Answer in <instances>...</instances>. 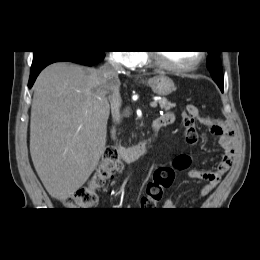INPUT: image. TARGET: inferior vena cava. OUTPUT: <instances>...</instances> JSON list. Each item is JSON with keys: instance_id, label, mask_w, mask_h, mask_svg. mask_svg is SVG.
<instances>
[{"instance_id": "inferior-vena-cava-1", "label": "inferior vena cava", "mask_w": 260, "mask_h": 260, "mask_svg": "<svg viewBox=\"0 0 260 260\" xmlns=\"http://www.w3.org/2000/svg\"><path fill=\"white\" fill-rule=\"evenodd\" d=\"M122 70L123 68L121 64L118 63L113 57H110L102 67L104 76L111 85V113L114 123L120 122V107L122 101L119 92L120 81L118 78V73Z\"/></svg>"}]
</instances>
